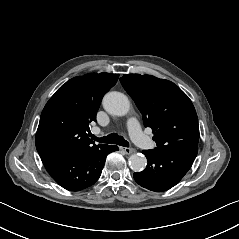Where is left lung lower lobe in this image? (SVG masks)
<instances>
[{
	"mask_svg": "<svg viewBox=\"0 0 239 239\" xmlns=\"http://www.w3.org/2000/svg\"><path fill=\"white\" fill-rule=\"evenodd\" d=\"M198 151L173 149L144 150L148 164L145 170L134 173L135 181L155 192L166 191L175 186L192 166Z\"/></svg>",
	"mask_w": 239,
	"mask_h": 239,
	"instance_id": "1",
	"label": "left lung lower lobe"
}]
</instances>
